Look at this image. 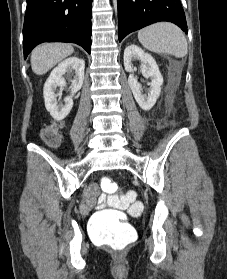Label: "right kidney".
I'll list each match as a JSON object with an SVG mask.
<instances>
[{"label":"right kidney","mask_w":227,"mask_h":279,"mask_svg":"<svg viewBox=\"0 0 227 279\" xmlns=\"http://www.w3.org/2000/svg\"><path fill=\"white\" fill-rule=\"evenodd\" d=\"M85 62L78 57H70L55 67L46 80L43 89L45 107L55 120H63L73 107V96L81 89L84 80ZM68 71H75L74 79L71 81V95L64 99V104H58L62 93H55L57 87H64L66 81L63 76ZM57 97L59 99L57 100Z\"/></svg>","instance_id":"ca27d5eb"}]
</instances>
